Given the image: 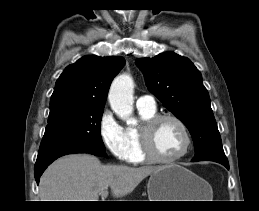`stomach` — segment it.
Returning <instances> with one entry per match:
<instances>
[{"label": "stomach", "mask_w": 259, "mask_h": 211, "mask_svg": "<svg viewBox=\"0 0 259 211\" xmlns=\"http://www.w3.org/2000/svg\"><path fill=\"white\" fill-rule=\"evenodd\" d=\"M147 188L149 201H207L211 197L207 182L177 164L154 172Z\"/></svg>", "instance_id": "stomach-1"}]
</instances>
